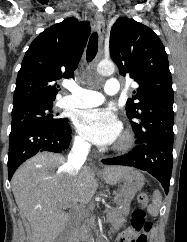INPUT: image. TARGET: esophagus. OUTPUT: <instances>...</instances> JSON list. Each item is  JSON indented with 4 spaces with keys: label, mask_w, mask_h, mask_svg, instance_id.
Segmentation results:
<instances>
[{
    "label": "esophagus",
    "mask_w": 187,
    "mask_h": 242,
    "mask_svg": "<svg viewBox=\"0 0 187 242\" xmlns=\"http://www.w3.org/2000/svg\"><path fill=\"white\" fill-rule=\"evenodd\" d=\"M95 26L99 35V43L102 46L103 39H104V31H105V21H104V17L100 13H96L95 15ZM92 166H94L93 163H92ZM94 168L96 169L95 166Z\"/></svg>",
    "instance_id": "esophagus-1"
}]
</instances>
